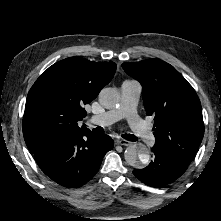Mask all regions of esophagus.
Returning a JSON list of instances; mask_svg holds the SVG:
<instances>
[{"instance_id":"obj_1","label":"esophagus","mask_w":221,"mask_h":221,"mask_svg":"<svg viewBox=\"0 0 221 221\" xmlns=\"http://www.w3.org/2000/svg\"><path fill=\"white\" fill-rule=\"evenodd\" d=\"M116 143L119 144V145H122V146H128L130 145V142L129 141H126L124 139H118L116 140Z\"/></svg>"}]
</instances>
